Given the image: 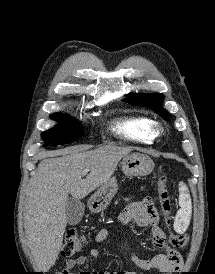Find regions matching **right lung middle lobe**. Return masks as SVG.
Returning <instances> with one entry per match:
<instances>
[{
	"label": "right lung middle lobe",
	"mask_w": 215,
	"mask_h": 274,
	"mask_svg": "<svg viewBox=\"0 0 215 274\" xmlns=\"http://www.w3.org/2000/svg\"><path fill=\"white\" fill-rule=\"evenodd\" d=\"M51 119L59 122V125L42 132L41 138L44 140L46 146L61 145L75 141L82 133L81 125L78 121L67 118L61 113L51 115Z\"/></svg>",
	"instance_id": "right-lung-middle-lobe-1"
}]
</instances>
